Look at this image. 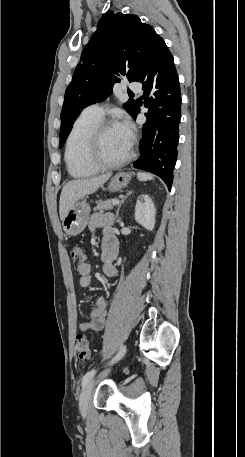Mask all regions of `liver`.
I'll return each mask as SVG.
<instances>
[{"label": "liver", "instance_id": "6515ba94", "mask_svg": "<svg viewBox=\"0 0 245 457\" xmlns=\"http://www.w3.org/2000/svg\"><path fill=\"white\" fill-rule=\"evenodd\" d=\"M112 172L108 174H100V176H94V178H82V180H69L62 188L59 212L61 220H64L68 210L75 204L76 200L83 198L85 194L95 192L101 184H104L108 178H110Z\"/></svg>", "mask_w": 245, "mask_h": 457}]
</instances>
